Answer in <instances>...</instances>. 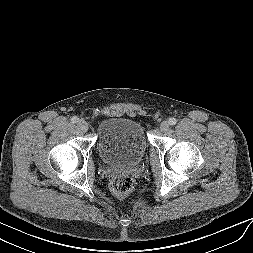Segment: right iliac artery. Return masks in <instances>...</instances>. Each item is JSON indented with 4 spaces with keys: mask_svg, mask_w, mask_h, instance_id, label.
<instances>
[{
    "mask_svg": "<svg viewBox=\"0 0 253 253\" xmlns=\"http://www.w3.org/2000/svg\"><path fill=\"white\" fill-rule=\"evenodd\" d=\"M72 123H77L79 121L78 117L74 116L71 118Z\"/></svg>",
    "mask_w": 253,
    "mask_h": 253,
    "instance_id": "right-iliac-artery-1",
    "label": "right iliac artery"
}]
</instances>
